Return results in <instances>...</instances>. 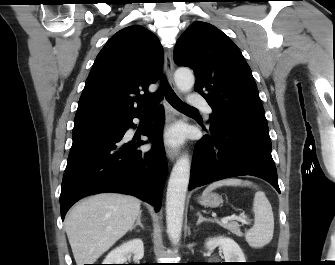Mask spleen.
Segmentation results:
<instances>
[{
	"label": "spleen",
	"instance_id": "spleen-1",
	"mask_svg": "<svg viewBox=\"0 0 335 265\" xmlns=\"http://www.w3.org/2000/svg\"><path fill=\"white\" fill-rule=\"evenodd\" d=\"M252 186V182L237 178L220 180L210 184L203 192V196L221 186ZM255 215L253 227L245 233V239L253 248H262L273 238L274 216L270 202L263 191H257L253 201Z\"/></svg>",
	"mask_w": 335,
	"mask_h": 265
}]
</instances>
